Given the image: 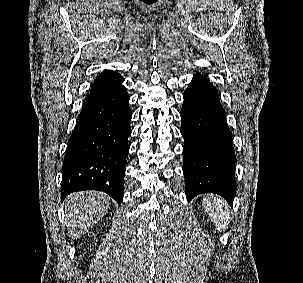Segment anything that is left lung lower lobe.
I'll return each mask as SVG.
<instances>
[{
	"mask_svg": "<svg viewBox=\"0 0 303 283\" xmlns=\"http://www.w3.org/2000/svg\"><path fill=\"white\" fill-rule=\"evenodd\" d=\"M183 97L180 131L185 140L186 197L190 200L199 194L216 193L231 205L236 156L218 92L206 77L196 74Z\"/></svg>",
	"mask_w": 303,
	"mask_h": 283,
	"instance_id": "obj_1",
	"label": "left lung lower lobe"
}]
</instances>
